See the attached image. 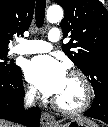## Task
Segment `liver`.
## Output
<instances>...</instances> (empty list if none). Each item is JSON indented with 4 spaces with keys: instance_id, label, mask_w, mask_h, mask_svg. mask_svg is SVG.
Segmentation results:
<instances>
[{
    "instance_id": "liver-1",
    "label": "liver",
    "mask_w": 108,
    "mask_h": 127,
    "mask_svg": "<svg viewBox=\"0 0 108 127\" xmlns=\"http://www.w3.org/2000/svg\"><path fill=\"white\" fill-rule=\"evenodd\" d=\"M77 120L85 122V123H89V124H94L92 121H90L87 118H77ZM0 127H19V126L16 124L1 120L0 121Z\"/></svg>"
}]
</instances>
